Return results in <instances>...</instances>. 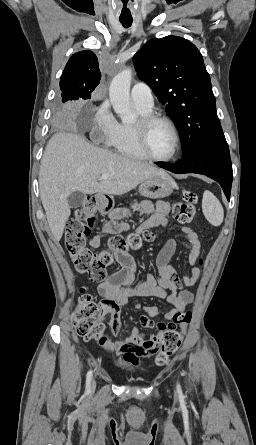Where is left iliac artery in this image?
<instances>
[{
	"label": "left iliac artery",
	"instance_id": "left-iliac-artery-1",
	"mask_svg": "<svg viewBox=\"0 0 256 445\" xmlns=\"http://www.w3.org/2000/svg\"><path fill=\"white\" fill-rule=\"evenodd\" d=\"M177 390H178L179 392H181V386H180V384L177 385Z\"/></svg>",
	"mask_w": 256,
	"mask_h": 445
}]
</instances>
